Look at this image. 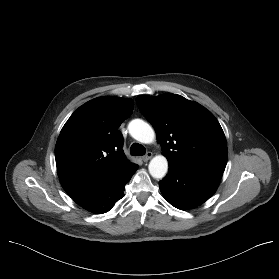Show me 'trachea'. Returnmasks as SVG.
<instances>
[{
	"mask_svg": "<svg viewBox=\"0 0 279 279\" xmlns=\"http://www.w3.org/2000/svg\"><path fill=\"white\" fill-rule=\"evenodd\" d=\"M145 152H146L145 147L141 144L134 143L130 147V153L133 156H142L145 154Z\"/></svg>",
	"mask_w": 279,
	"mask_h": 279,
	"instance_id": "1",
	"label": "trachea"
}]
</instances>
